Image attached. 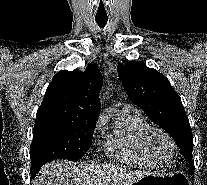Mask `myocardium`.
<instances>
[{
    "label": "myocardium",
    "mask_w": 207,
    "mask_h": 185,
    "mask_svg": "<svg viewBox=\"0 0 207 185\" xmlns=\"http://www.w3.org/2000/svg\"><path fill=\"white\" fill-rule=\"evenodd\" d=\"M155 135H161L162 137H164L171 143L173 152L170 158H163L155 149L154 143H153V138ZM143 142H144V145L147 151L159 162H162V163L170 162L176 155L177 146H176L174 139L171 137V135L167 131H165L164 129L160 127H150L144 134Z\"/></svg>",
    "instance_id": "1"
}]
</instances>
